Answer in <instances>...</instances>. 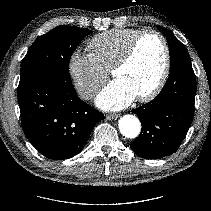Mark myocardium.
Returning <instances> with one entry per match:
<instances>
[{
    "mask_svg": "<svg viewBox=\"0 0 211 211\" xmlns=\"http://www.w3.org/2000/svg\"><path fill=\"white\" fill-rule=\"evenodd\" d=\"M147 35H153L161 41L163 50H164V63H163L161 75H160L157 83L155 84V86L149 92L136 97L139 102H148V101H151L154 98H156L158 96V94L162 91V89L164 88V86L167 82V79L169 77V74H170V48H169L168 42H167L166 38L164 37V35L155 29H146V30L140 31L132 39V41L130 42V44L127 47L124 54L114 64V66L111 69V75L114 77V75L117 72H119L120 70L125 68L134 58L140 41L142 40V38H144Z\"/></svg>",
    "mask_w": 211,
    "mask_h": 211,
    "instance_id": "obj_1",
    "label": "myocardium"
}]
</instances>
